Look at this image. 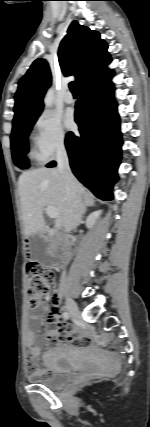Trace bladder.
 <instances>
[{
  "label": "bladder",
  "instance_id": "bladder-1",
  "mask_svg": "<svg viewBox=\"0 0 150 427\" xmlns=\"http://www.w3.org/2000/svg\"><path fill=\"white\" fill-rule=\"evenodd\" d=\"M75 372L67 357L56 355L46 362V377L42 378L41 385L56 389L67 384Z\"/></svg>",
  "mask_w": 150,
  "mask_h": 427
}]
</instances>
